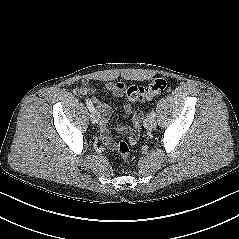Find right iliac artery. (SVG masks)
<instances>
[{
	"label": "right iliac artery",
	"mask_w": 239,
	"mask_h": 239,
	"mask_svg": "<svg viewBox=\"0 0 239 239\" xmlns=\"http://www.w3.org/2000/svg\"><path fill=\"white\" fill-rule=\"evenodd\" d=\"M85 101H86L87 108H88L90 111L94 110V106H93L91 100H90L89 98H86Z\"/></svg>",
	"instance_id": "82829eb1"
}]
</instances>
